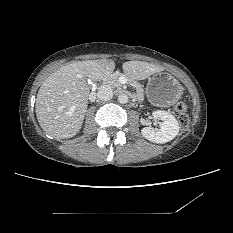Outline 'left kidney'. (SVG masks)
Returning <instances> with one entry per match:
<instances>
[{"label": "left kidney", "instance_id": "1", "mask_svg": "<svg viewBox=\"0 0 233 233\" xmlns=\"http://www.w3.org/2000/svg\"><path fill=\"white\" fill-rule=\"evenodd\" d=\"M153 118L160 119L159 129L144 127L141 130L142 135L154 143H166L171 141L179 133V124L176 118L167 111L157 110L152 113Z\"/></svg>", "mask_w": 233, "mask_h": 233}]
</instances>
